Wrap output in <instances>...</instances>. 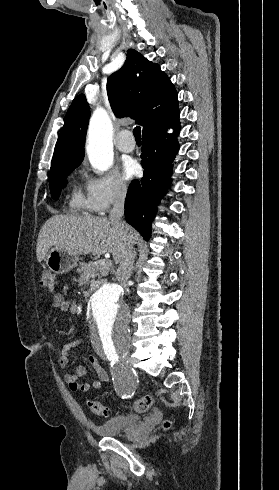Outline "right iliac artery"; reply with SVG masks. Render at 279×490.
Wrapping results in <instances>:
<instances>
[{
    "mask_svg": "<svg viewBox=\"0 0 279 490\" xmlns=\"http://www.w3.org/2000/svg\"><path fill=\"white\" fill-rule=\"evenodd\" d=\"M107 359H108V361H112L113 364H116L117 363V359H118L117 352H108ZM120 384H121V386H120L121 392L122 393H125L126 392V389H125V386H124L125 381L124 380H121L120 381ZM125 395L127 396L128 394L126 393Z\"/></svg>",
    "mask_w": 279,
    "mask_h": 490,
    "instance_id": "1",
    "label": "right iliac artery"
}]
</instances>
